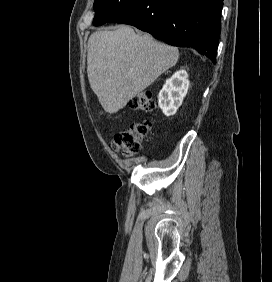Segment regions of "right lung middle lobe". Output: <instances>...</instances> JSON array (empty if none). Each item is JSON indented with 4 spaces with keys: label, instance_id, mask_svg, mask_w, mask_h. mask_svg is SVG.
Listing matches in <instances>:
<instances>
[{
    "label": "right lung middle lobe",
    "instance_id": "1",
    "mask_svg": "<svg viewBox=\"0 0 272 282\" xmlns=\"http://www.w3.org/2000/svg\"><path fill=\"white\" fill-rule=\"evenodd\" d=\"M135 1L136 0H95V17L93 24L98 26L108 22Z\"/></svg>",
    "mask_w": 272,
    "mask_h": 282
}]
</instances>
